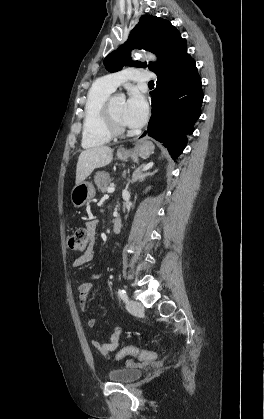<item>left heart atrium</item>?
I'll use <instances>...</instances> for the list:
<instances>
[{
	"instance_id": "39dd6f15",
	"label": "left heart atrium",
	"mask_w": 264,
	"mask_h": 419,
	"mask_svg": "<svg viewBox=\"0 0 264 419\" xmlns=\"http://www.w3.org/2000/svg\"><path fill=\"white\" fill-rule=\"evenodd\" d=\"M148 111V103L144 95L136 89L131 90L123 113L125 124L134 128L142 126L147 119Z\"/></svg>"
}]
</instances>
